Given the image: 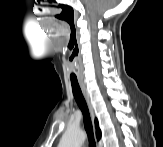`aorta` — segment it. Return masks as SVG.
<instances>
[{"instance_id": "aorta-1", "label": "aorta", "mask_w": 163, "mask_h": 147, "mask_svg": "<svg viewBox=\"0 0 163 147\" xmlns=\"http://www.w3.org/2000/svg\"><path fill=\"white\" fill-rule=\"evenodd\" d=\"M84 141V132L79 128L70 127L62 136L59 147H81Z\"/></svg>"}]
</instances>
